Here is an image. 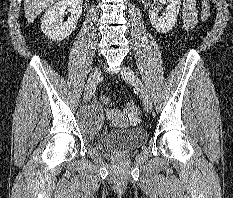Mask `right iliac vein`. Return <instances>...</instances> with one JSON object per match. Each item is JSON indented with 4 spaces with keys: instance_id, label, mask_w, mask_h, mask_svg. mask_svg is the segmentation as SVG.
Wrapping results in <instances>:
<instances>
[{
    "instance_id": "1",
    "label": "right iliac vein",
    "mask_w": 233,
    "mask_h": 198,
    "mask_svg": "<svg viewBox=\"0 0 233 198\" xmlns=\"http://www.w3.org/2000/svg\"><path fill=\"white\" fill-rule=\"evenodd\" d=\"M100 75H101V72H100L99 67H95L91 71L90 76H89L88 81H87L85 93H84V99L86 101H89L92 98V96L96 90V86H97L98 79H99Z\"/></svg>"
}]
</instances>
